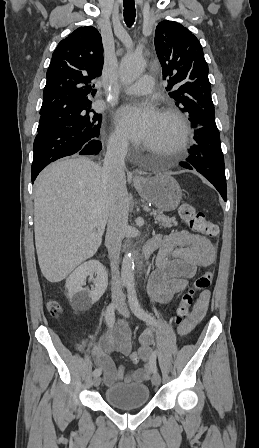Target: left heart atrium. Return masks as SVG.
Returning <instances> with one entry per match:
<instances>
[{
  "mask_svg": "<svg viewBox=\"0 0 259 448\" xmlns=\"http://www.w3.org/2000/svg\"><path fill=\"white\" fill-rule=\"evenodd\" d=\"M159 119L158 110L151 104L123 106L116 114L119 129L133 141H141Z\"/></svg>",
  "mask_w": 259,
  "mask_h": 448,
  "instance_id": "left-heart-atrium-1",
  "label": "left heart atrium"
}]
</instances>
